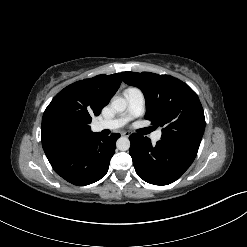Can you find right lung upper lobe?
<instances>
[{
	"label": "right lung upper lobe",
	"instance_id": "obj_1",
	"mask_svg": "<svg viewBox=\"0 0 247 247\" xmlns=\"http://www.w3.org/2000/svg\"><path fill=\"white\" fill-rule=\"evenodd\" d=\"M121 73L98 75L60 91L46 108L41 127L46 156L78 147L93 135L88 125L116 93Z\"/></svg>",
	"mask_w": 247,
	"mask_h": 247
}]
</instances>
